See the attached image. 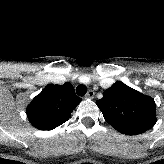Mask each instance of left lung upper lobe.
<instances>
[{
	"label": "left lung upper lobe",
	"instance_id": "1",
	"mask_svg": "<svg viewBox=\"0 0 164 164\" xmlns=\"http://www.w3.org/2000/svg\"><path fill=\"white\" fill-rule=\"evenodd\" d=\"M105 120L126 135L141 134L156 123L154 99L117 81L96 102Z\"/></svg>",
	"mask_w": 164,
	"mask_h": 164
}]
</instances>
